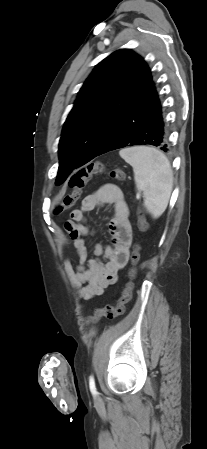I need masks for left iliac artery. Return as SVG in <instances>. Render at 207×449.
<instances>
[{
    "label": "left iliac artery",
    "mask_w": 207,
    "mask_h": 449,
    "mask_svg": "<svg viewBox=\"0 0 207 449\" xmlns=\"http://www.w3.org/2000/svg\"><path fill=\"white\" fill-rule=\"evenodd\" d=\"M89 388H90V391H91V393L93 395L97 394L96 386H95V380H94L93 376H90V378H89Z\"/></svg>",
    "instance_id": "44dca946"
}]
</instances>
